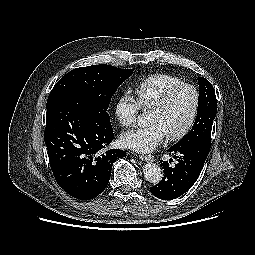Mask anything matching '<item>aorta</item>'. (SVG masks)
I'll return each instance as SVG.
<instances>
[{
    "mask_svg": "<svg viewBox=\"0 0 255 255\" xmlns=\"http://www.w3.org/2000/svg\"><path fill=\"white\" fill-rule=\"evenodd\" d=\"M138 124L140 127L145 126L146 120L143 115L138 116ZM143 174L145 179L152 184L159 183L163 177L161 167L152 162H148L143 166Z\"/></svg>",
    "mask_w": 255,
    "mask_h": 255,
    "instance_id": "aorta-1",
    "label": "aorta"
}]
</instances>
